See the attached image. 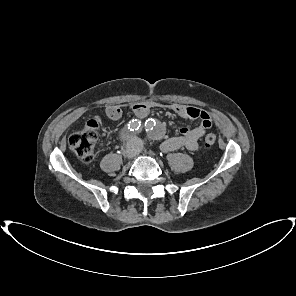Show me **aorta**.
<instances>
[{
    "instance_id": "762f6f07",
    "label": "aorta",
    "mask_w": 296,
    "mask_h": 296,
    "mask_svg": "<svg viewBox=\"0 0 296 296\" xmlns=\"http://www.w3.org/2000/svg\"><path fill=\"white\" fill-rule=\"evenodd\" d=\"M148 128H149V130H150L151 126H148Z\"/></svg>"
}]
</instances>
